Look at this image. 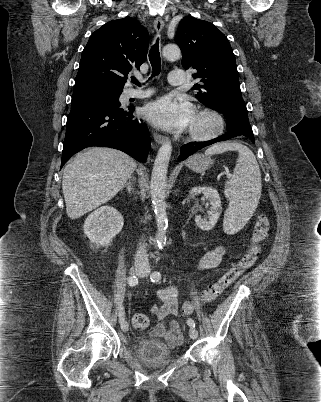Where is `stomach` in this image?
Returning a JSON list of instances; mask_svg holds the SVG:
<instances>
[{"label": "stomach", "instance_id": "0dacf381", "mask_svg": "<svg viewBox=\"0 0 321 402\" xmlns=\"http://www.w3.org/2000/svg\"><path fill=\"white\" fill-rule=\"evenodd\" d=\"M212 164L213 161L203 154H195L187 161V166L198 173H204Z\"/></svg>", "mask_w": 321, "mask_h": 402}]
</instances>
